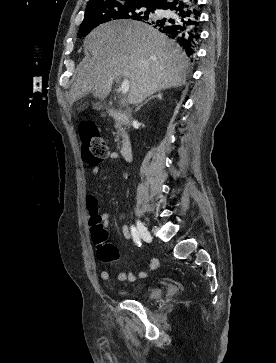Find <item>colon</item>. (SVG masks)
Returning <instances> with one entry per match:
<instances>
[{"label": "colon", "instance_id": "obj_1", "mask_svg": "<svg viewBox=\"0 0 276 363\" xmlns=\"http://www.w3.org/2000/svg\"><path fill=\"white\" fill-rule=\"evenodd\" d=\"M79 134L85 160L90 164L102 162L107 157L108 149L97 127L91 122H85L80 126ZM90 225L93 240L98 245V258L104 262L118 259L117 248L113 244L106 243L107 232L94 215L90 219Z\"/></svg>", "mask_w": 276, "mask_h": 363}]
</instances>
